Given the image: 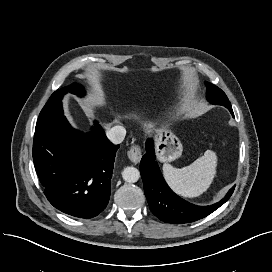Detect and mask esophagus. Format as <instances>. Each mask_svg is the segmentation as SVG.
<instances>
[{
    "label": "esophagus",
    "mask_w": 272,
    "mask_h": 272,
    "mask_svg": "<svg viewBox=\"0 0 272 272\" xmlns=\"http://www.w3.org/2000/svg\"><path fill=\"white\" fill-rule=\"evenodd\" d=\"M127 155L133 163L137 164L142 157V152H141V149L138 145H133L128 150Z\"/></svg>",
    "instance_id": "1"
}]
</instances>
